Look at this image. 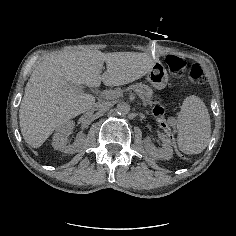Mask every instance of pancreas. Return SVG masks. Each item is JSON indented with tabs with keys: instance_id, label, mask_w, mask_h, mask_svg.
<instances>
[{
	"instance_id": "1",
	"label": "pancreas",
	"mask_w": 236,
	"mask_h": 236,
	"mask_svg": "<svg viewBox=\"0 0 236 236\" xmlns=\"http://www.w3.org/2000/svg\"><path fill=\"white\" fill-rule=\"evenodd\" d=\"M130 91H135L136 96H142L143 101H148L152 97V89L146 85L144 82L130 84L128 86H123L122 90L117 88L115 90H105L99 95L102 101L114 100L123 95V93H128Z\"/></svg>"
}]
</instances>
